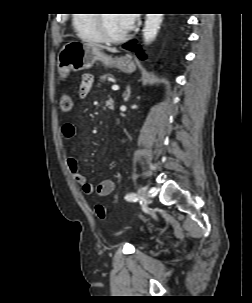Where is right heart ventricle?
Returning <instances> with one entry per match:
<instances>
[{
	"label": "right heart ventricle",
	"instance_id": "e07e8e85",
	"mask_svg": "<svg viewBox=\"0 0 252 303\" xmlns=\"http://www.w3.org/2000/svg\"><path fill=\"white\" fill-rule=\"evenodd\" d=\"M73 23L82 38L93 42L104 41L98 26L97 14H78Z\"/></svg>",
	"mask_w": 252,
	"mask_h": 303
}]
</instances>
